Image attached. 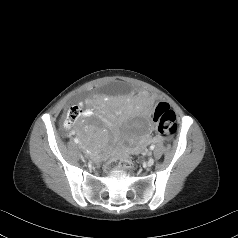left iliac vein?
<instances>
[{
  "label": "left iliac vein",
  "instance_id": "4c4485c4",
  "mask_svg": "<svg viewBox=\"0 0 238 238\" xmlns=\"http://www.w3.org/2000/svg\"><path fill=\"white\" fill-rule=\"evenodd\" d=\"M153 164H154V159H153V158H150V159L147 161V166H148V167H151Z\"/></svg>",
  "mask_w": 238,
  "mask_h": 238
}]
</instances>
